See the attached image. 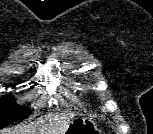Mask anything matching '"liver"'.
<instances>
[{
  "instance_id": "6515ba94",
  "label": "liver",
  "mask_w": 153,
  "mask_h": 134,
  "mask_svg": "<svg viewBox=\"0 0 153 134\" xmlns=\"http://www.w3.org/2000/svg\"><path fill=\"white\" fill-rule=\"evenodd\" d=\"M72 114H62L60 117L56 116V120L59 121L58 125L56 126H43V120L40 119L35 124H30L27 126H23L20 128H15L14 130H2L0 134H63L68 127L69 120L72 119Z\"/></svg>"
}]
</instances>
